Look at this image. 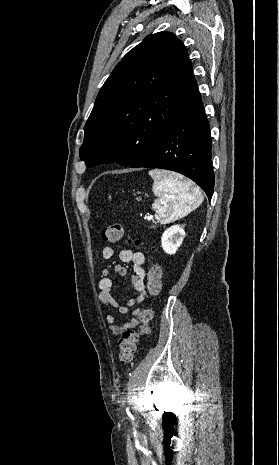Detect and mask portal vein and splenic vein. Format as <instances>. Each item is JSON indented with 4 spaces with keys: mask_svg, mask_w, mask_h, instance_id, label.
Here are the masks:
<instances>
[{
    "mask_svg": "<svg viewBox=\"0 0 279 465\" xmlns=\"http://www.w3.org/2000/svg\"><path fill=\"white\" fill-rule=\"evenodd\" d=\"M147 219H148V220H151V219H152V216H147Z\"/></svg>",
    "mask_w": 279,
    "mask_h": 465,
    "instance_id": "obj_1",
    "label": "portal vein and splenic vein"
}]
</instances>
